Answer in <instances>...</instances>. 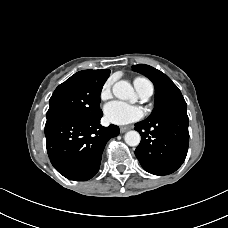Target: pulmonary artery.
Instances as JSON below:
<instances>
[{"mask_svg":"<svg viewBox=\"0 0 228 228\" xmlns=\"http://www.w3.org/2000/svg\"><path fill=\"white\" fill-rule=\"evenodd\" d=\"M152 93H153V87L150 83L147 84L141 91H139L140 96L144 99L150 97Z\"/></svg>","mask_w":228,"mask_h":228,"instance_id":"pulmonary-artery-1","label":"pulmonary artery"}]
</instances>
